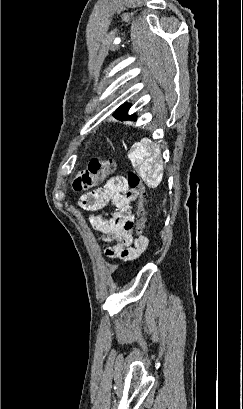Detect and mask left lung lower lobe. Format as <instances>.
I'll return each mask as SVG.
<instances>
[{
  "label": "left lung lower lobe",
  "mask_w": 243,
  "mask_h": 409,
  "mask_svg": "<svg viewBox=\"0 0 243 409\" xmlns=\"http://www.w3.org/2000/svg\"><path fill=\"white\" fill-rule=\"evenodd\" d=\"M127 111H128V110H127ZM127 111L124 112V113H122V114H115V113H114V117L117 118V119H119V120H121V121H124V120L135 121V120H136V115H131V116H129V115H127Z\"/></svg>",
  "instance_id": "1"
}]
</instances>
